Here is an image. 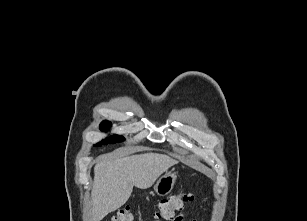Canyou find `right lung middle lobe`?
<instances>
[{"instance_id": "dd1d6c3e", "label": "right lung middle lobe", "mask_w": 307, "mask_h": 221, "mask_svg": "<svg viewBox=\"0 0 307 221\" xmlns=\"http://www.w3.org/2000/svg\"><path fill=\"white\" fill-rule=\"evenodd\" d=\"M111 126V123L108 122V121H103L102 124H101V127L100 129L101 130H108V128ZM124 138L120 137V136H113V137H110V138H107L105 140H103L101 143H97L95 144L94 146H101L102 144H108V143H116V142H120V141H123Z\"/></svg>"}]
</instances>
